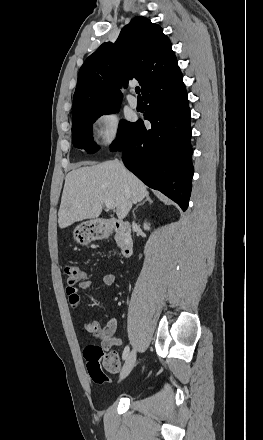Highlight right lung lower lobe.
<instances>
[{"instance_id":"obj_1","label":"right lung lower lobe","mask_w":263,"mask_h":440,"mask_svg":"<svg viewBox=\"0 0 263 440\" xmlns=\"http://www.w3.org/2000/svg\"><path fill=\"white\" fill-rule=\"evenodd\" d=\"M143 99L149 104L144 116L151 122V128L140 121L132 123L111 150L123 151V162L131 172L185 211L193 166L191 115L181 71L150 88Z\"/></svg>"}]
</instances>
